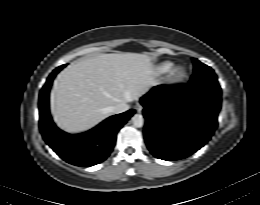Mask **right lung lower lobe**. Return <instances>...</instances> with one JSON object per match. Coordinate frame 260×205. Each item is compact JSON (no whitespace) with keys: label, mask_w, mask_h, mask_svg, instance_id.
<instances>
[{"label":"right lung lower lobe","mask_w":260,"mask_h":205,"mask_svg":"<svg viewBox=\"0 0 260 205\" xmlns=\"http://www.w3.org/2000/svg\"><path fill=\"white\" fill-rule=\"evenodd\" d=\"M64 66L56 68L50 74L40 92V131L45 142L66 162L81 167L93 166L109 156L117 132L134 114V110L111 116L85 133L71 135L61 131L50 116L49 92L54 77Z\"/></svg>","instance_id":"98d812e1"}]
</instances>
